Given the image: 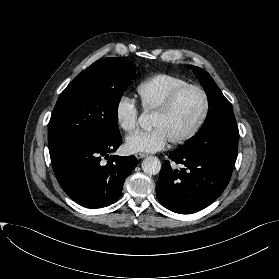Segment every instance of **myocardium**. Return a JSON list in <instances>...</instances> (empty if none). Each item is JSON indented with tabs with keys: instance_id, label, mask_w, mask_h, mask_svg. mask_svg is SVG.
Masks as SVG:
<instances>
[{
	"instance_id": "myocardium-1",
	"label": "myocardium",
	"mask_w": 279,
	"mask_h": 279,
	"mask_svg": "<svg viewBox=\"0 0 279 279\" xmlns=\"http://www.w3.org/2000/svg\"><path fill=\"white\" fill-rule=\"evenodd\" d=\"M186 90H196L202 95L203 108H202V112H201L199 118L197 119L195 124L192 126V128L188 132H186L184 135H182L179 138L170 140V142L174 145L184 144V143L188 142L189 140H191L202 128L203 124L205 123V121L207 119L209 109H210V100H209V96H208V93L206 92V90L199 85L188 83V84L182 85V86L174 89L168 95V97L165 99L163 104L157 110L154 111V114L160 115V116L168 114L171 111V109L173 108L177 98Z\"/></svg>"
}]
</instances>
